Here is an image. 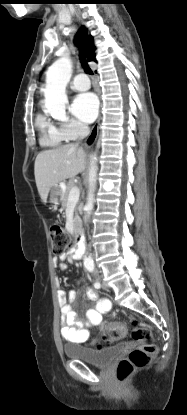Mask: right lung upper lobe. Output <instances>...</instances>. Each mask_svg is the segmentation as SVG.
<instances>
[{
  "instance_id": "cb5924a9",
  "label": "right lung upper lobe",
  "mask_w": 187,
  "mask_h": 415,
  "mask_svg": "<svg viewBox=\"0 0 187 415\" xmlns=\"http://www.w3.org/2000/svg\"><path fill=\"white\" fill-rule=\"evenodd\" d=\"M81 40L82 43V47L86 53V57L88 61H96L95 60V47L93 45L92 42V37L88 36L87 31L84 27H81V29L78 31L75 40L77 41V39Z\"/></svg>"
}]
</instances>
